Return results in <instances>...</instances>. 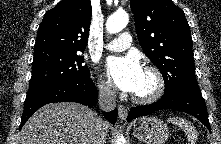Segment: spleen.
Masks as SVG:
<instances>
[{"label":"spleen","mask_w":221,"mask_h":144,"mask_svg":"<svg viewBox=\"0 0 221 144\" xmlns=\"http://www.w3.org/2000/svg\"><path fill=\"white\" fill-rule=\"evenodd\" d=\"M168 121L173 123L174 125L179 126L185 132L189 143H196V140L198 139V132L191 122L187 121L184 118L178 117L169 118Z\"/></svg>","instance_id":"spleen-1"}]
</instances>
